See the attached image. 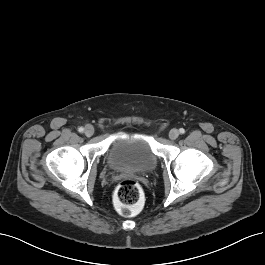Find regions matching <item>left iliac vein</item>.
<instances>
[{"label": "left iliac vein", "mask_w": 265, "mask_h": 265, "mask_svg": "<svg viewBox=\"0 0 265 265\" xmlns=\"http://www.w3.org/2000/svg\"><path fill=\"white\" fill-rule=\"evenodd\" d=\"M178 136H179V131H178L177 129H172V130H170V132H169V138H170L171 140H175V139H177Z\"/></svg>", "instance_id": "1"}]
</instances>
